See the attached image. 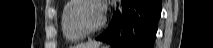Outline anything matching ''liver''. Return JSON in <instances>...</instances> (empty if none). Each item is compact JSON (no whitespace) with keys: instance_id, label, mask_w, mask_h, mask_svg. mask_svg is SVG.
<instances>
[{"instance_id":"obj_1","label":"liver","mask_w":213,"mask_h":48,"mask_svg":"<svg viewBox=\"0 0 213 48\" xmlns=\"http://www.w3.org/2000/svg\"><path fill=\"white\" fill-rule=\"evenodd\" d=\"M98 43L97 42H87V43H82L79 45H76L73 48H98Z\"/></svg>"}]
</instances>
